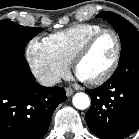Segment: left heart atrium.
<instances>
[{"instance_id": "1", "label": "left heart atrium", "mask_w": 139, "mask_h": 139, "mask_svg": "<svg viewBox=\"0 0 139 139\" xmlns=\"http://www.w3.org/2000/svg\"><path fill=\"white\" fill-rule=\"evenodd\" d=\"M77 76L80 80H86L83 76H81L80 74L77 73Z\"/></svg>"}]
</instances>
